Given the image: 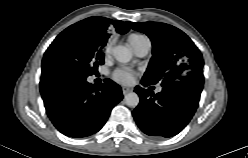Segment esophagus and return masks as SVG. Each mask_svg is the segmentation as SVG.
Wrapping results in <instances>:
<instances>
[{
    "mask_svg": "<svg viewBox=\"0 0 248 158\" xmlns=\"http://www.w3.org/2000/svg\"><path fill=\"white\" fill-rule=\"evenodd\" d=\"M131 91H132V89L129 88V87H122V93H123L124 95L128 94V93L131 92Z\"/></svg>",
    "mask_w": 248,
    "mask_h": 158,
    "instance_id": "esophagus-1",
    "label": "esophagus"
}]
</instances>
